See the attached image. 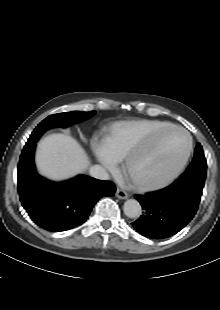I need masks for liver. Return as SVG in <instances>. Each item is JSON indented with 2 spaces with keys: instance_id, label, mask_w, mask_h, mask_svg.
Instances as JSON below:
<instances>
[{
  "instance_id": "1",
  "label": "liver",
  "mask_w": 220,
  "mask_h": 310,
  "mask_svg": "<svg viewBox=\"0 0 220 310\" xmlns=\"http://www.w3.org/2000/svg\"><path fill=\"white\" fill-rule=\"evenodd\" d=\"M36 164L42 175L52 180H63L85 171L90 161L73 137L56 133L38 144Z\"/></svg>"
}]
</instances>
